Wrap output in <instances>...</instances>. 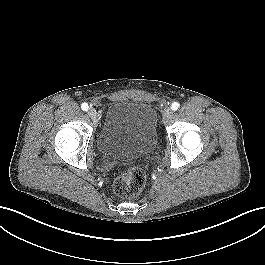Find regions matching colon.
<instances>
[{
    "instance_id": "obj_1",
    "label": "colon",
    "mask_w": 265,
    "mask_h": 265,
    "mask_svg": "<svg viewBox=\"0 0 265 265\" xmlns=\"http://www.w3.org/2000/svg\"><path fill=\"white\" fill-rule=\"evenodd\" d=\"M145 186V172L140 167H132L118 175L113 182L114 192L122 198L138 196Z\"/></svg>"
}]
</instances>
